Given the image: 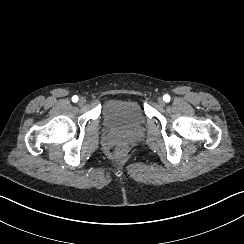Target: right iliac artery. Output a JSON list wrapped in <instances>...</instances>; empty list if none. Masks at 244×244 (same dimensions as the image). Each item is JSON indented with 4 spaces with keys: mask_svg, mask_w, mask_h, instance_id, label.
<instances>
[{
    "mask_svg": "<svg viewBox=\"0 0 244 244\" xmlns=\"http://www.w3.org/2000/svg\"><path fill=\"white\" fill-rule=\"evenodd\" d=\"M72 101H73V102H77V101H78V96H77V95H74V96L72 97Z\"/></svg>",
    "mask_w": 244,
    "mask_h": 244,
    "instance_id": "1",
    "label": "right iliac artery"
}]
</instances>
